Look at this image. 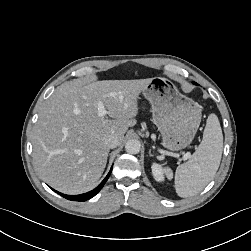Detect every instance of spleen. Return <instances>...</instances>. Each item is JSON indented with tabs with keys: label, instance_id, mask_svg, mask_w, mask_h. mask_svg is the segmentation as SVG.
Segmentation results:
<instances>
[{
	"label": "spleen",
	"instance_id": "obj_1",
	"mask_svg": "<svg viewBox=\"0 0 251 251\" xmlns=\"http://www.w3.org/2000/svg\"><path fill=\"white\" fill-rule=\"evenodd\" d=\"M223 151V134L218 117L210 114L207 118L203 139L190 159L177 167L175 172V190L182 198L200 193L215 176ZM168 179L173 172L164 169Z\"/></svg>",
	"mask_w": 251,
	"mask_h": 251
}]
</instances>
